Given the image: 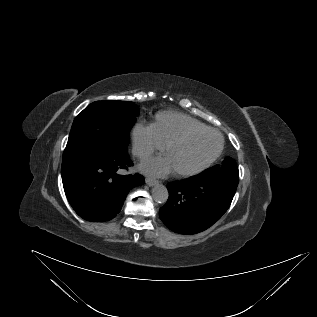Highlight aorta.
<instances>
[{"label":"aorta","instance_id":"aorta-1","mask_svg":"<svg viewBox=\"0 0 317 317\" xmlns=\"http://www.w3.org/2000/svg\"><path fill=\"white\" fill-rule=\"evenodd\" d=\"M153 200L157 203H166L169 197L167 188L162 184H157L152 189Z\"/></svg>","mask_w":317,"mask_h":317}]
</instances>
